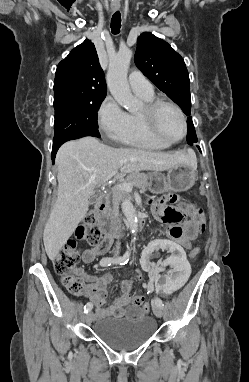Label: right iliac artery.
Segmentation results:
<instances>
[{"label": "right iliac artery", "mask_w": 249, "mask_h": 382, "mask_svg": "<svg viewBox=\"0 0 249 382\" xmlns=\"http://www.w3.org/2000/svg\"><path fill=\"white\" fill-rule=\"evenodd\" d=\"M128 260H129V252H126L123 256L115 258V259L111 257L102 258L100 260V265L102 267L110 266L111 264L124 265L128 262ZM92 308H93V304L91 302H88L84 306V313H88L89 311L92 310Z\"/></svg>", "instance_id": "1"}]
</instances>
